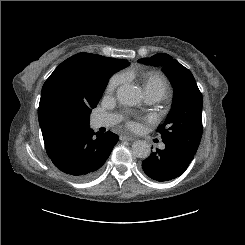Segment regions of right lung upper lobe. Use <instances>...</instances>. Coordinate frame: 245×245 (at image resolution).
Segmentation results:
<instances>
[{
    "mask_svg": "<svg viewBox=\"0 0 245 245\" xmlns=\"http://www.w3.org/2000/svg\"><path fill=\"white\" fill-rule=\"evenodd\" d=\"M100 60L112 64L118 71L129 65L127 60L78 53L63 61L44 83L38 119L48 155L67 139L89 127L82 117L87 112L91 113L99 102L101 84L93 72V66ZM57 95L65 97L76 109L74 118L62 121L55 117L52 104Z\"/></svg>",
    "mask_w": 245,
    "mask_h": 245,
    "instance_id": "1",
    "label": "right lung upper lobe"
}]
</instances>
